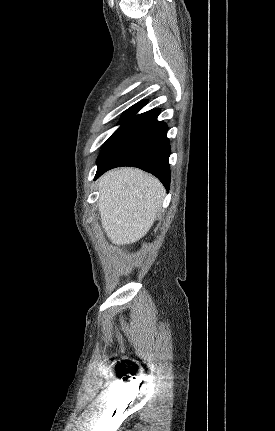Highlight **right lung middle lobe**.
I'll return each mask as SVG.
<instances>
[{
    "label": "right lung middle lobe",
    "mask_w": 275,
    "mask_h": 431,
    "mask_svg": "<svg viewBox=\"0 0 275 431\" xmlns=\"http://www.w3.org/2000/svg\"><path fill=\"white\" fill-rule=\"evenodd\" d=\"M134 116L133 113H125L121 119V123H123L113 134L112 136L107 140L106 145L109 143V141L123 128V126L132 119V117ZM105 145V146H106ZM104 146V147H105Z\"/></svg>",
    "instance_id": "right-lung-middle-lobe-1"
}]
</instances>
